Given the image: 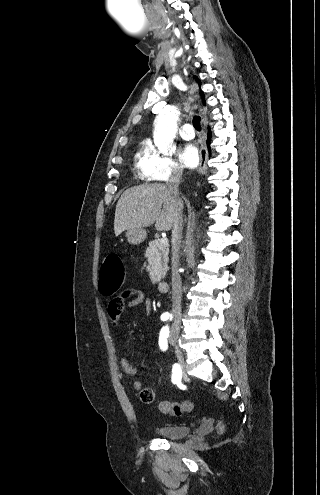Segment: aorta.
Returning <instances> with one entry per match:
<instances>
[{
	"mask_svg": "<svg viewBox=\"0 0 320 495\" xmlns=\"http://www.w3.org/2000/svg\"><path fill=\"white\" fill-rule=\"evenodd\" d=\"M179 115L177 107L168 105L154 120V144L161 153H168L173 147Z\"/></svg>",
	"mask_w": 320,
	"mask_h": 495,
	"instance_id": "aorta-1",
	"label": "aorta"
}]
</instances>
